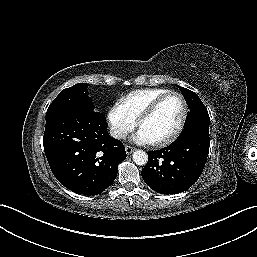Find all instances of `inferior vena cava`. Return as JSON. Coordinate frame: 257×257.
<instances>
[{
  "mask_svg": "<svg viewBox=\"0 0 257 257\" xmlns=\"http://www.w3.org/2000/svg\"><path fill=\"white\" fill-rule=\"evenodd\" d=\"M110 135L116 139H125L127 137V132L123 129L112 127L110 129Z\"/></svg>",
  "mask_w": 257,
  "mask_h": 257,
  "instance_id": "602c4592",
  "label": "inferior vena cava"
}]
</instances>
